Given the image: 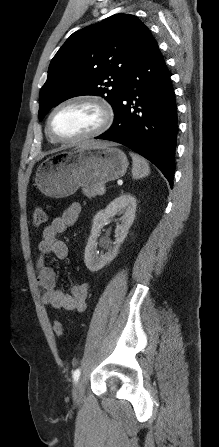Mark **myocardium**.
I'll list each match as a JSON object with an SVG mask.
<instances>
[{
  "label": "myocardium",
  "instance_id": "f54148a6",
  "mask_svg": "<svg viewBox=\"0 0 219 447\" xmlns=\"http://www.w3.org/2000/svg\"><path fill=\"white\" fill-rule=\"evenodd\" d=\"M88 104L94 106L100 113V122L96 128L82 136L74 138H64L58 136L52 128V119L54 115L63 107L73 104ZM114 121V110L110 103L104 98L92 94H79L71 96L60 103H58L50 112L47 118V131L52 139L61 143H79L92 138H95L106 132Z\"/></svg>",
  "mask_w": 219,
  "mask_h": 447
}]
</instances>
